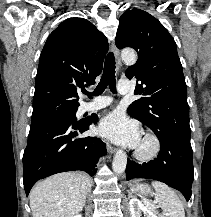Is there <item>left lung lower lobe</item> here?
Masks as SVG:
<instances>
[{"mask_svg": "<svg viewBox=\"0 0 211 217\" xmlns=\"http://www.w3.org/2000/svg\"><path fill=\"white\" fill-rule=\"evenodd\" d=\"M157 137L161 144L158 157L143 164L128 159L126 179L148 178L164 182L179 190L189 201L194 176L190 139L174 133Z\"/></svg>", "mask_w": 211, "mask_h": 217, "instance_id": "obj_1", "label": "left lung lower lobe"}]
</instances>
